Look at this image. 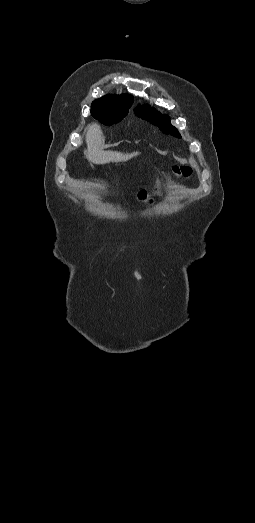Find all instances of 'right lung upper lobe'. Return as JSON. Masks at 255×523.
Segmentation results:
<instances>
[{
    "instance_id": "1",
    "label": "right lung upper lobe",
    "mask_w": 255,
    "mask_h": 523,
    "mask_svg": "<svg viewBox=\"0 0 255 523\" xmlns=\"http://www.w3.org/2000/svg\"><path fill=\"white\" fill-rule=\"evenodd\" d=\"M121 102H133V97L128 94L121 95H106L100 99H96L91 106H96L100 104H112V103H121Z\"/></svg>"
}]
</instances>
